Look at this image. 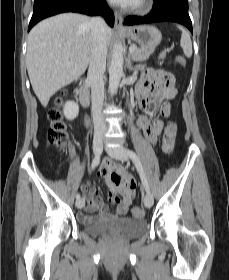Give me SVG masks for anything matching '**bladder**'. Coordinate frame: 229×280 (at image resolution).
Returning <instances> with one entry per match:
<instances>
[{"label":"bladder","mask_w":229,"mask_h":280,"mask_svg":"<svg viewBox=\"0 0 229 280\" xmlns=\"http://www.w3.org/2000/svg\"><path fill=\"white\" fill-rule=\"evenodd\" d=\"M84 230L94 236H102L112 230L120 235L132 238L141 235L147 230L145 219L121 217L115 220H88L83 222Z\"/></svg>","instance_id":"31cf9c89"}]
</instances>
